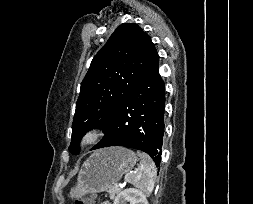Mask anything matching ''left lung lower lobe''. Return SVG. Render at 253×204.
Instances as JSON below:
<instances>
[{"mask_svg": "<svg viewBox=\"0 0 253 204\" xmlns=\"http://www.w3.org/2000/svg\"><path fill=\"white\" fill-rule=\"evenodd\" d=\"M165 84L154 53L138 84L103 129L105 136L92 150L124 146L148 153L160 165L164 135Z\"/></svg>", "mask_w": 253, "mask_h": 204, "instance_id": "left-lung-lower-lobe-1", "label": "left lung lower lobe"}]
</instances>
